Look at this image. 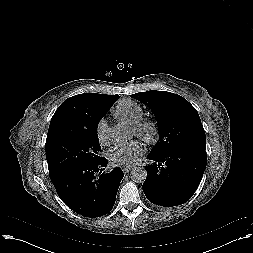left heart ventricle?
I'll return each instance as SVG.
<instances>
[{
  "label": "left heart ventricle",
  "mask_w": 253,
  "mask_h": 253,
  "mask_svg": "<svg viewBox=\"0 0 253 253\" xmlns=\"http://www.w3.org/2000/svg\"><path fill=\"white\" fill-rule=\"evenodd\" d=\"M132 135H135V132H134V130H132Z\"/></svg>",
  "instance_id": "1"
}]
</instances>
